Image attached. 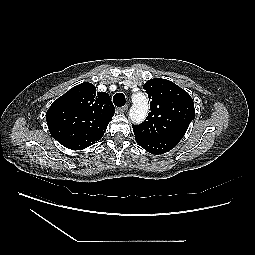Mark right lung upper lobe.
<instances>
[{"label":"right lung upper lobe","instance_id":"1","mask_svg":"<svg viewBox=\"0 0 255 255\" xmlns=\"http://www.w3.org/2000/svg\"><path fill=\"white\" fill-rule=\"evenodd\" d=\"M115 113L107 93L81 83L55 100L46 113L50 133L66 148L82 150L102 138Z\"/></svg>","mask_w":255,"mask_h":255}]
</instances>
